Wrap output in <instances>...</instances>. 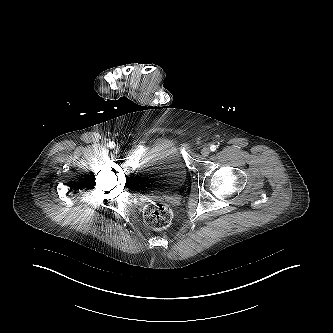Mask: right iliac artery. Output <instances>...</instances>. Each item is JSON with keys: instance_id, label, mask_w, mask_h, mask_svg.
<instances>
[{"instance_id": "82829eb1", "label": "right iliac artery", "mask_w": 333, "mask_h": 333, "mask_svg": "<svg viewBox=\"0 0 333 333\" xmlns=\"http://www.w3.org/2000/svg\"><path fill=\"white\" fill-rule=\"evenodd\" d=\"M107 146H108L109 148H114L115 143H114V142H109V143L107 144Z\"/></svg>"}]
</instances>
